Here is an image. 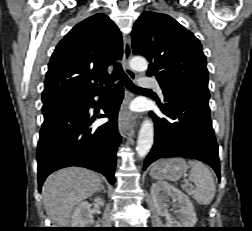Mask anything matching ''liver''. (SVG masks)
<instances>
[{"mask_svg": "<svg viewBox=\"0 0 252 231\" xmlns=\"http://www.w3.org/2000/svg\"><path fill=\"white\" fill-rule=\"evenodd\" d=\"M98 174L84 168H65L51 174L42 188L43 203L55 228L69 226L73 209L100 190Z\"/></svg>", "mask_w": 252, "mask_h": 231, "instance_id": "liver-1", "label": "liver"}]
</instances>
